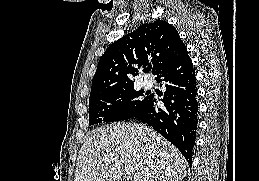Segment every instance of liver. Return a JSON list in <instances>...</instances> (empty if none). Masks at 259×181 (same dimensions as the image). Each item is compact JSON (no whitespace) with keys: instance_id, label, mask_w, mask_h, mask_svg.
Listing matches in <instances>:
<instances>
[{"instance_id":"liver-1","label":"liver","mask_w":259,"mask_h":181,"mask_svg":"<svg viewBox=\"0 0 259 181\" xmlns=\"http://www.w3.org/2000/svg\"><path fill=\"white\" fill-rule=\"evenodd\" d=\"M182 181L187 161L179 150L144 124L118 123L93 132L77 158L74 181Z\"/></svg>"}]
</instances>
